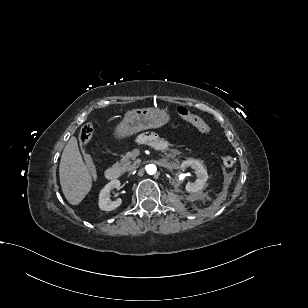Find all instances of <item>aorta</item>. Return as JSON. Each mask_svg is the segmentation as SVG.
<instances>
[{
  "label": "aorta",
  "instance_id": "obj_1",
  "mask_svg": "<svg viewBox=\"0 0 308 308\" xmlns=\"http://www.w3.org/2000/svg\"><path fill=\"white\" fill-rule=\"evenodd\" d=\"M146 172L149 174V175H153L156 173L157 171V168H156V165L154 164H149L146 166Z\"/></svg>",
  "mask_w": 308,
  "mask_h": 308
}]
</instances>
